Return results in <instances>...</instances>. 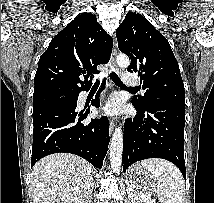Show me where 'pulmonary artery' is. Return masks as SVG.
<instances>
[{
  "label": "pulmonary artery",
  "mask_w": 214,
  "mask_h": 203,
  "mask_svg": "<svg viewBox=\"0 0 214 203\" xmlns=\"http://www.w3.org/2000/svg\"><path fill=\"white\" fill-rule=\"evenodd\" d=\"M123 83L128 87H137L139 85V81L134 78L131 73L124 74Z\"/></svg>",
  "instance_id": "pulmonary-artery-1"
}]
</instances>
